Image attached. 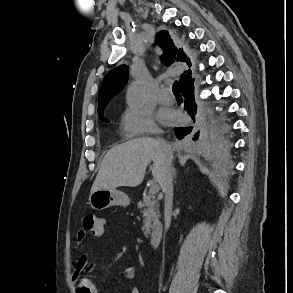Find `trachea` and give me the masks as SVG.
I'll return each instance as SVG.
<instances>
[{"label": "trachea", "mask_w": 293, "mask_h": 293, "mask_svg": "<svg viewBox=\"0 0 293 293\" xmlns=\"http://www.w3.org/2000/svg\"><path fill=\"white\" fill-rule=\"evenodd\" d=\"M172 90H173V93L175 95H180L179 90H178V83H177V81L173 84Z\"/></svg>", "instance_id": "obj_1"}]
</instances>
